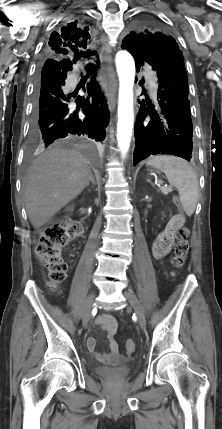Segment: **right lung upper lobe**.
Wrapping results in <instances>:
<instances>
[{
    "mask_svg": "<svg viewBox=\"0 0 222 429\" xmlns=\"http://www.w3.org/2000/svg\"><path fill=\"white\" fill-rule=\"evenodd\" d=\"M62 33H52L46 55L51 59H68L77 61L81 58H90L96 52L86 49L87 39L90 37L85 29H80L77 24L72 27H63Z\"/></svg>",
    "mask_w": 222,
    "mask_h": 429,
    "instance_id": "right-lung-upper-lobe-1",
    "label": "right lung upper lobe"
}]
</instances>
